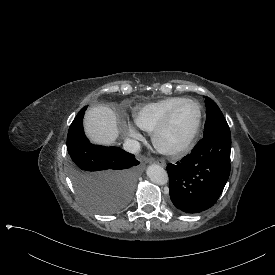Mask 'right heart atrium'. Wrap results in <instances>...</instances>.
<instances>
[{"mask_svg": "<svg viewBox=\"0 0 275 275\" xmlns=\"http://www.w3.org/2000/svg\"><path fill=\"white\" fill-rule=\"evenodd\" d=\"M126 132H127V137L135 138V139L140 137V133L138 132L136 127L128 122H127Z\"/></svg>", "mask_w": 275, "mask_h": 275, "instance_id": "right-heart-atrium-1", "label": "right heart atrium"}]
</instances>
